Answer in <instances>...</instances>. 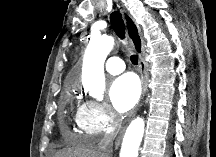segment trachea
<instances>
[{
  "mask_svg": "<svg viewBox=\"0 0 216 157\" xmlns=\"http://www.w3.org/2000/svg\"><path fill=\"white\" fill-rule=\"evenodd\" d=\"M110 22L111 25L116 33V35L121 39H125V24L124 20L122 19V15L118 11H114L110 15ZM133 40L138 44L139 47H141V40L138 34V30L136 27H133ZM131 62L134 65L138 64V55H132L130 57Z\"/></svg>",
  "mask_w": 216,
  "mask_h": 157,
  "instance_id": "trachea-1",
  "label": "trachea"
}]
</instances>
